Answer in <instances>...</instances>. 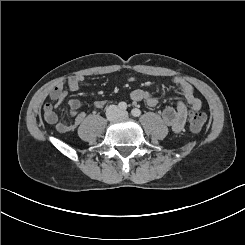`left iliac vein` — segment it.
<instances>
[{
	"mask_svg": "<svg viewBox=\"0 0 245 245\" xmlns=\"http://www.w3.org/2000/svg\"><path fill=\"white\" fill-rule=\"evenodd\" d=\"M128 115H129L128 112L122 111V112L119 114V118H127Z\"/></svg>",
	"mask_w": 245,
	"mask_h": 245,
	"instance_id": "left-iliac-vein-1",
	"label": "left iliac vein"
}]
</instances>
